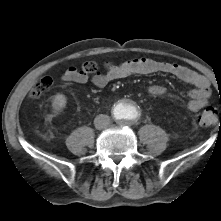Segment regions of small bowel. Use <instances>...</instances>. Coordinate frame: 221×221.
I'll return each instance as SVG.
<instances>
[{"instance_id": "c3829d8e", "label": "small bowel", "mask_w": 221, "mask_h": 221, "mask_svg": "<svg viewBox=\"0 0 221 221\" xmlns=\"http://www.w3.org/2000/svg\"><path fill=\"white\" fill-rule=\"evenodd\" d=\"M155 73L169 74L177 79L192 85L190 100L187 108L191 112H198L208 105L210 98V82L203 75L178 64L158 62L147 58H134L125 60L113 66L105 73H98L90 77L75 67L68 68L61 76L65 83H86L91 81L96 87L103 88L110 82L132 75H148ZM148 93L155 96L167 94V89L160 85H152L147 88Z\"/></svg>"}]
</instances>
